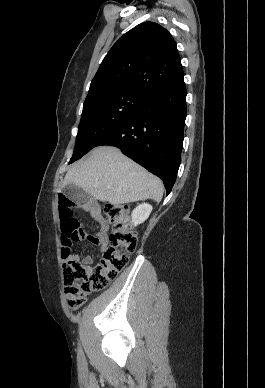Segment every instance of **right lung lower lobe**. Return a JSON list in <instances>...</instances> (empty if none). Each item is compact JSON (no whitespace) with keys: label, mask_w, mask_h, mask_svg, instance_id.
<instances>
[{"label":"right lung lower lobe","mask_w":265,"mask_h":388,"mask_svg":"<svg viewBox=\"0 0 265 388\" xmlns=\"http://www.w3.org/2000/svg\"><path fill=\"white\" fill-rule=\"evenodd\" d=\"M186 118L184 78L148 93L136 111L97 146L118 147L125 155L159 176L168 195L181 162Z\"/></svg>","instance_id":"1"}]
</instances>
